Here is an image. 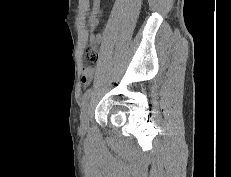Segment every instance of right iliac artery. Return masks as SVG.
<instances>
[{
    "label": "right iliac artery",
    "instance_id": "1",
    "mask_svg": "<svg viewBox=\"0 0 231 177\" xmlns=\"http://www.w3.org/2000/svg\"><path fill=\"white\" fill-rule=\"evenodd\" d=\"M91 93H92V89H91V88L88 89V90L84 93V95H83V102H82L83 104H85V103L88 101V99H89Z\"/></svg>",
    "mask_w": 231,
    "mask_h": 177
}]
</instances>
